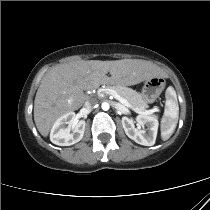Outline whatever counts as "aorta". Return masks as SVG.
<instances>
[{"mask_svg": "<svg viewBox=\"0 0 210 210\" xmlns=\"http://www.w3.org/2000/svg\"><path fill=\"white\" fill-rule=\"evenodd\" d=\"M101 107L104 111H107L110 108L109 103H107V102H103Z\"/></svg>", "mask_w": 210, "mask_h": 210, "instance_id": "1", "label": "aorta"}]
</instances>
